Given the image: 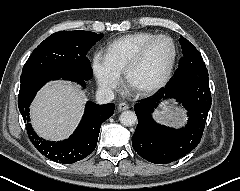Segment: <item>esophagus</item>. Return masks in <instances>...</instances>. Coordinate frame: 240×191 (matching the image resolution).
Wrapping results in <instances>:
<instances>
[{
	"label": "esophagus",
	"instance_id": "obj_1",
	"mask_svg": "<svg viewBox=\"0 0 240 191\" xmlns=\"http://www.w3.org/2000/svg\"><path fill=\"white\" fill-rule=\"evenodd\" d=\"M127 109H129V105L127 103H125V102L119 103V105H118V110L119 111H124V110H127Z\"/></svg>",
	"mask_w": 240,
	"mask_h": 191
}]
</instances>
